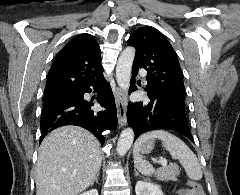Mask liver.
Wrapping results in <instances>:
<instances>
[{
    "mask_svg": "<svg viewBox=\"0 0 240 195\" xmlns=\"http://www.w3.org/2000/svg\"><path fill=\"white\" fill-rule=\"evenodd\" d=\"M39 149L36 195H76L89 187L100 171V143L84 127H57L44 137Z\"/></svg>",
    "mask_w": 240,
    "mask_h": 195,
    "instance_id": "6515ba94",
    "label": "liver"
}]
</instances>
